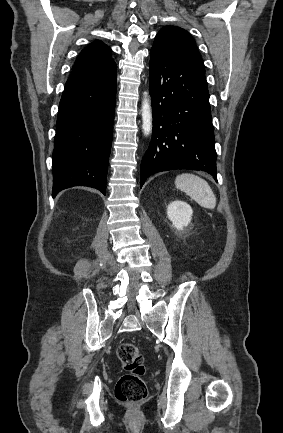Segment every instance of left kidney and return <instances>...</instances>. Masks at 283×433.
Segmentation results:
<instances>
[{
	"instance_id": "obj_1",
	"label": "left kidney",
	"mask_w": 283,
	"mask_h": 433,
	"mask_svg": "<svg viewBox=\"0 0 283 433\" xmlns=\"http://www.w3.org/2000/svg\"><path fill=\"white\" fill-rule=\"evenodd\" d=\"M192 208L184 201H173L167 207V215L177 230H182L192 219Z\"/></svg>"
}]
</instances>
